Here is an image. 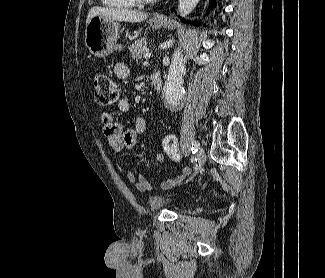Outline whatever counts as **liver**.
Instances as JSON below:
<instances>
[{
    "instance_id": "obj_1",
    "label": "liver",
    "mask_w": 325,
    "mask_h": 278,
    "mask_svg": "<svg viewBox=\"0 0 325 278\" xmlns=\"http://www.w3.org/2000/svg\"><path fill=\"white\" fill-rule=\"evenodd\" d=\"M94 16H100L104 19L115 21L138 23L147 19L148 14L141 11L94 6L90 9L87 15L86 25Z\"/></svg>"
}]
</instances>
